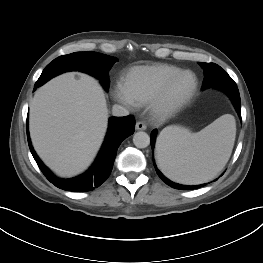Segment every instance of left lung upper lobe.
I'll return each instance as SVG.
<instances>
[{
    "mask_svg": "<svg viewBox=\"0 0 263 263\" xmlns=\"http://www.w3.org/2000/svg\"><path fill=\"white\" fill-rule=\"evenodd\" d=\"M218 77L215 78V82H214V85L215 86H219V85H222V84H236L232 79L231 77L227 74L226 71H224L223 69H221L219 72H218Z\"/></svg>",
    "mask_w": 263,
    "mask_h": 263,
    "instance_id": "5c2ea615",
    "label": "left lung upper lobe"
}]
</instances>
